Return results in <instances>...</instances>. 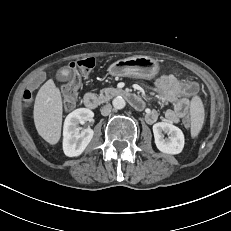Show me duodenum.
Returning <instances> with one entry per match:
<instances>
[{"label": "duodenum", "mask_w": 231, "mask_h": 231, "mask_svg": "<svg viewBox=\"0 0 231 231\" xmlns=\"http://www.w3.org/2000/svg\"><path fill=\"white\" fill-rule=\"evenodd\" d=\"M106 95L110 97H123L125 98L132 107L136 110H143L145 103L143 99L137 94L123 88H109L106 91ZM83 102L88 109H96L100 103L99 98L94 93H86L83 98Z\"/></svg>", "instance_id": "obj_1"}]
</instances>
